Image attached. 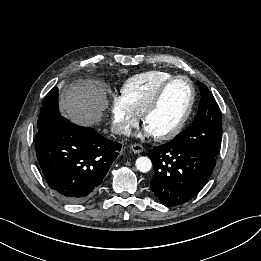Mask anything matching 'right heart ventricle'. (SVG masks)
Returning <instances> with one entry per match:
<instances>
[{
    "label": "right heart ventricle",
    "mask_w": 261,
    "mask_h": 261,
    "mask_svg": "<svg viewBox=\"0 0 261 261\" xmlns=\"http://www.w3.org/2000/svg\"><path fill=\"white\" fill-rule=\"evenodd\" d=\"M173 76V73L163 70H150L134 75L124 82L121 94L140 116L159 88Z\"/></svg>",
    "instance_id": "1"
}]
</instances>
